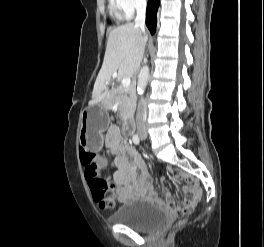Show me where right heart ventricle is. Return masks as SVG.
Returning <instances> with one entry per match:
<instances>
[{
	"instance_id": "right-heart-ventricle-1",
	"label": "right heart ventricle",
	"mask_w": 264,
	"mask_h": 247,
	"mask_svg": "<svg viewBox=\"0 0 264 247\" xmlns=\"http://www.w3.org/2000/svg\"><path fill=\"white\" fill-rule=\"evenodd\" d=\"M110 6H111V10H112V12H113L117 17H120L121 14L117 11V8H116L115 5L113 4V0H110Z\"/></svg>"
}]
</instances>
